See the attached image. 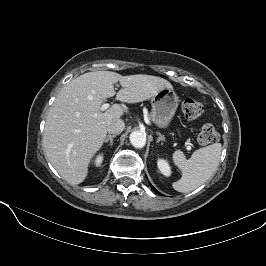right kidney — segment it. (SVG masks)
Wrapping results in <instances>:
<instances>
[{
  "label": "right kidney",
  "instance_id": "right-kidney-1",
  "mask_svg": "<svg viewBox=\"0 0 266 266\" xmlns=\"http://www.w3.org/2000/svg\"><path fill=\"white\" fill-rule=\"evenodd\" d=\"M102 161H103V156H102V155H99V156L96 158V160H95V165H96V166H100L101 163H102Z\"/></svg>",
  "mask_w": 266,
  "mask_h": 266
}]
</instances>
